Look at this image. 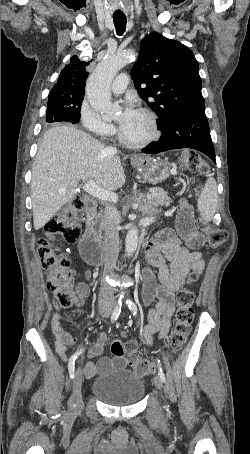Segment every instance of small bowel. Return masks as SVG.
Returning <instances> with one entry per match:
<instances>
[{
    "mask_svg": "<svg viewBox=\"0 0 250 454\" xmlns=\"http://www.w3.org/2000/svg\"><path fill=\"white\" fill-rule=\"evenodd\" d=\"M177 230L179 236L168 230L156 235L148 244L145 254L147 266L144 268L143 301L145 305L155 302V306L149 311L148 324L145 326L143 336L147 344H152L153 335L159 332L160 338H165L171 327V320L175 311L174 293L178 291L190 272L200 274L204 267L200 249L204 243L203 235L194 226L193 212L191 207L181 202L177 211ZM181 239L186 243L183 246ZM153 269L157 270L155 276ZM87 281L79 282L76 286L75 306L81 307L90 293L88 280L91 274L87 272ZM51 327L55 338V348L58 355L65 361L67 348L74 344L73 337L62 324L60 313L52 315ZM106 340L104 333L97 335L96 341L88 351L89 361L84 363L81 370L88 379L98 374L108 372L113 362L102 357L96 363L103 351ZM116 365H123V360L118 359Z\"/></svg>",
    "mask_w": 250,
    "mask_h": 454,
    "instance_id": "1",
    "label": "small bowel"
}]
</instances>
